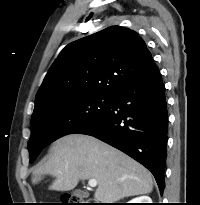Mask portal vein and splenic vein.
<instances>
[{
    "label": "portal vein and splenic vein",
    "mask_w": 200,
    "mask_h": 205,
    "mask_svg": "<svg viewBox=\"0 0 200 205\" xmlns=\"http://www.w3.org/2000/svg\"><path fill=\"white\" fill-rule=\"evenodd\" d=\"M88 185L90 186V187H96L97 186V181L95 180V179H90L89 181H88Z\"/></svg>",
    "instance_id": "obj_1"
}]
</instances>
